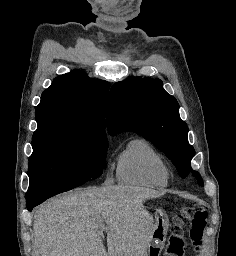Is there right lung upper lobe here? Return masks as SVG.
<instances>
[{
    "label": "right lung upper lobe",
    "mask_w": 236,
    "mask_h": 256,
    "mask_svg": "<svg viewBox=\"0 0 236 256\" xmlns=\"http://www.w3.org/2000/svg\"><path fill=\"white\" fill-rule=\"evenodd\" d=\"M109 83L79 71L58 76L36 107L38 127L70 126L104 134V107Z\"/></svg>",
    "instance_id": "cb5924a9"
}]
</instances>
